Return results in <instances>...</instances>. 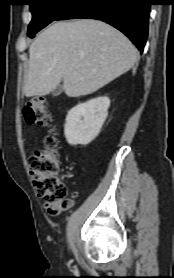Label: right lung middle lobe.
Returning <instances> with one entry per match:
<instances>
[{
    "label": "right lung middle lobe",
    "mask_w": 174,
    "mask_h": 278,
    "mask_svg": "<svg viewBox=\"0 0 174 278\" xmlns=\"http://www.w3.org/2000/svg\"><path fill=\"white\" fill-rule=\"evenodd\" d=\"M76 0H29L33 18L28 27V36L34 35L56 18Z\"/></svg>",
    "instance_id": "right-lung-middle-lobe-1"
}]
</instances>
